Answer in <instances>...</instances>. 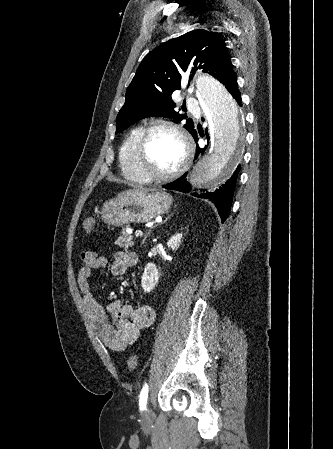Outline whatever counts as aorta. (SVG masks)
Masks as SVG:
<instances>
[{
  "label": "aorta",
  "instance_id": "aorta-1",
  "mask_svg": "<svg viewBox=\"0 0 333 449\" xmlns=\"http://www.w3.org/2000/svg\"><path fill=\"white\" fill-rule=\"evenodd\" d=\"M197 97L211 122V149L193 165L189 182L197 190H213L236 163L243 145L241 114L232 95L208 75L196 77Z\"/></svg>",
  "mask_w": 333,
  "mask_h": 449
}]
</instances>
